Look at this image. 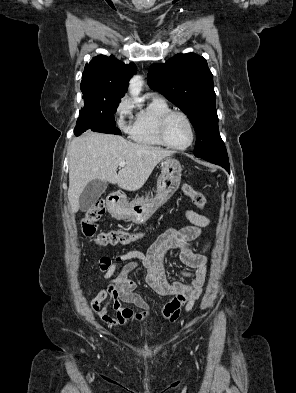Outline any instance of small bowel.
Here are the masks:
<instances>
[{
  "mask_svg": "<svg viewBox=\"0 0 296 393\" xmlns=\"http://www.w3.org/2000/svg\"><path fill=\"white\" fill-rule=\"evenodd\" d=\"M185 218L191 223L182 229H168L163 232L151 245L146 253L128 251L113 258L101 257L99 268L107 287L97 293L91 301V308L100 319L109 327L127 325L132 322H143L155 314L168 323L177 321L183 312H189L203 292V285L207 273V257L203 253H194L192 243L207 227L211 220L209 217L193 210L184 212ZM209 244L204 247V251ZM170 250L179 252L180 261L187 267L195 269L193 273L183 271L185 276L191 277L189 283H170L166 276L164 258ZM119 265L122 268L117 276L113 277ZM142 267L146 273V282L159 296L171 297L160 311L152 312L144 292H137V284L129 278L131 272ZM133 304L141 312H134L124 304ZM112 308L116 318L108 315Z\"/></svg>",
  "mask_w": 296,
  "mask_h": 393,
  "instance_id": "c3829d8e",
  "label": "small bowel"
}]
</instances>
